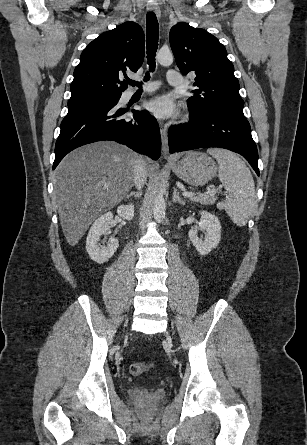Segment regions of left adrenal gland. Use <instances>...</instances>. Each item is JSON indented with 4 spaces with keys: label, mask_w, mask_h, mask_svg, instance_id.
Masks as SVG:
<instances>
[{
    "label": "left adrenal gland",
    "mask_w": 307,
    "mask_h": 445,
    "mask_svg": "<svg viewBox=\"0 0 307 445\" xmlns=\"http://www.w3.org/2000/svg\"><path fill=\"white\" fill-rule=\"evenodd\" d=\"M173 202H180V204H185V200L183 196H180L179 192H177L176 186H173Z\"/></svg>",
    "instance_id": "left-adrenal-gland-1"
}]
</instances>
